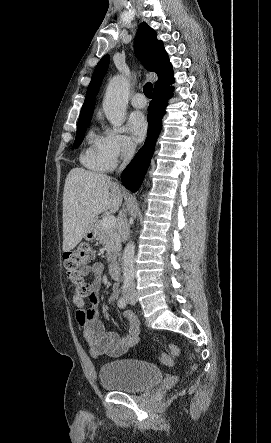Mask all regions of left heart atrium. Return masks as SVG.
Segmentation results:
<instances>
[{
	"label": "left heart atrium",
	"mask_w": 271,
	"mask_h": 443,
	"mask_svg": "<svg viewBox=\"0 0 271 443\" xmlns=\"http://www.w3.org/2000/svg\"><path fill=\"white\" fill-rule=\"evenodd\" d=\"M129 127L135 142H142L148 132V123L143 113L132 112L129 116Z\"/></svg>",
	"instance_id": "obj_1"
}]
</instances>
